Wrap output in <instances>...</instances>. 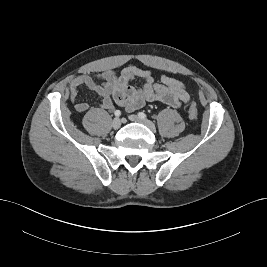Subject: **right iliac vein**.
<instances>
[{
	"label": "right iliac vein",
	"instance_id": "right-iliac-vein-1",
	"mask_svg": "<svg viewBox=\"0 0 267 267\" xmlns=\"http://www.w3.org/2000/svg\"><path fill=\"white\" fill-rule=\"evenodd\" d=\"M121 126V120L120 118H114V120L112 121V127L113 129H118Z\"/></svg>",
	"mask_w": 267,
	"mask_h": 267
}]
</instances>
